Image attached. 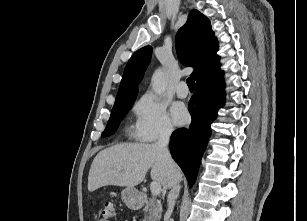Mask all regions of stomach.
<instances>
[{
  "instance_id": "obj_1",
  "label": "stomach",
  "mask_w": 307,
  "mask_h": 221,
  "mask_svg": "<svg viewBox=\"0 0 307 221\" xmlns=\"http://www.w3.org/2000/svg\"><path fill=\"white\" fill-rule=\"evenodd\" d=\"M121 198L124 203L130 208H137L140 205V195L135 188H125L121 192Z\"/></svg>"
}]
</instances>
